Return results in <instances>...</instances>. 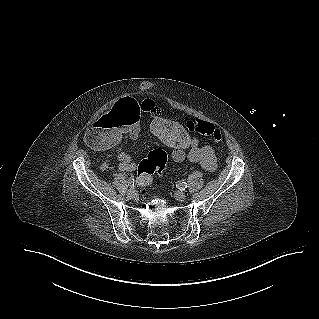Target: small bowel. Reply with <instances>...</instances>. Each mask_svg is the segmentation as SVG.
Here are the masks:
<instances>
[{
  "mask_svg": "<svg viewBox=\"0 0 319 319\" xmlns=\"http://www.w3.org/2000/svg\"><path fill=\"white\" fill-rule=\"evenodd\" d=\"M140 112H145L152 117L156 113H162V110L158 104L149 99L141 103L135 98H123L120 101H114L113 108H108L106 112L93 117V123L86 131V142L96 152H107L118 146L117 157L120 161L119 170L122 172H132L136 168L130 156L122 149V142L129 138L133 140L138 138L141 130ZM191 135L200 134L197 132ZM166 147L171 149V157L176 163L188 158L207 172H214L217 168V158L210 146L199 144L195 150L189 152H179L175 148Z\"/></svg>",
  "mask_w": 319,
  "mask_h": 319,
  "instance_id": "1",
  "label": "small bowel"
}]
</instances>
